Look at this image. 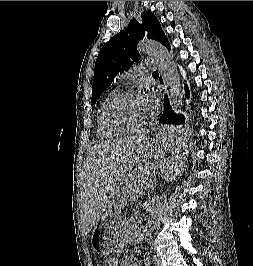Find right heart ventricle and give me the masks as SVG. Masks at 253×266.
Listing matches in <instances>:
<instances>
[{"instance_id": "e07e8e85", "label": "right heart ventricle", "mask_w": 253, "mask_h": 266, "mask_svg": "<svg viewBox=\"0 0 253 266\" xmlns=\"http://www.w3.org/2000/svg\"><path fill=\"white\" fill-rule=\"evenodd\" d=\"M118 92H119V88H114L110 90L100 103V106L98 108L97 115H96V135L99 139H102V140L111 139V138H114L120 135L118 133H114L108 130L104 126V123H103L104 108L107 105V103L111 100V98L115 96Z\"/></svg>"}]
</instances>
